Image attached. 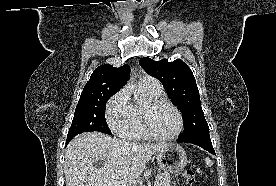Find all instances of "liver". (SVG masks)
I'll return each instance as SVG.
<instances>
[{"label":"liver","mask_w":276,"mask_h":186,"mask_svg":"<svg viewBox=\"0 0 276 186\" xmlns=\"http://www.w3.org/2000/svg\"><path fill=\"white\" fill-rule=\"evenodd\" d=\"M168 144H139L118 140L98 132L75 136L65 150L66 186H104L117 182L133 186L154 153ZM102 160L96 168L94 163Z\"/></svg>","instance_id":"obj_1"}]
</instances>
